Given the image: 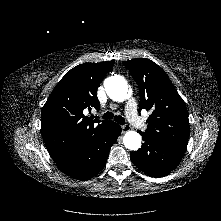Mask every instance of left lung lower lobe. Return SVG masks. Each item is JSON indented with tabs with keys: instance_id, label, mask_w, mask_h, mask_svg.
Masks as SVG:
<instances>
[{
	"instance_id": "left-lung-lower-lobe-1",
	"label": "left lung lower lobe",
	"mask_w": 221,
	"mask_h": 221,
	"mask_svg": "<svg viewBox=\"0 0 221 221\" xmlns=\"http://www.w3.org/2000/svg\"><path fill=\"white\" fill-rule=\"evenodd\" d=\"M144 143L136 152H131L132 162L151 177H164L173 171L181 161L185 148L171 145L142 133Z\"/></svg>"
}]
</instances>
